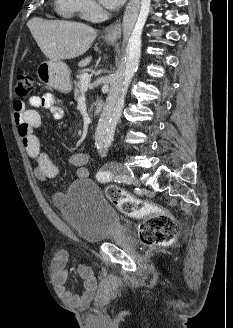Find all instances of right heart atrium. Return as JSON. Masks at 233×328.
I'll list each match as a JSON object with an SVG mask.
<instances>
[{
  "mask_svg": "<svg viewBox=\"0 0 233 328\" xmlns=\"http://www.w3.org/2000/svg\"><path fill=\"white\" fill-rule=\"evenodd\" d=\"M77 4V12L85 19H90L96 11V3L94 0H75Z\"/></svg>",
  "mask_w": 233,
  "mask_h": 328,
  "instance_id": "d8ad5b80",
  "label": "right heart atrium"
}]
</instances>
